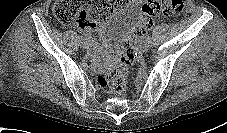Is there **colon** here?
Returning a JSON list of instances; mask_svg holds the SVG:
<instances>
[{"instance_id":"colon-1","label":"colon","mask_w":227,"mask_h":133,"mask_svg":"<svg viewBox=\"0 0 227 133\" xmlns=\"http://www.w3.org/2000/svg\"><path fill=\"white\" fill-rule=\"evenodd\" d=\"M128 0H56L53 14L63 25L74 22L92 25L105 21L114 12L121 9ZM185 0H146L142 6L139 25L133 36L144 33L160 17L179 15L185 9ZM136 60V46L132 36L123 40L120 50V64L106 73L97 75L98 85L107 93L123 91L128 82L129 66Z\"/></svg>"}]
</instances>
